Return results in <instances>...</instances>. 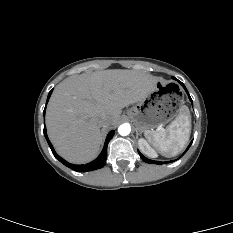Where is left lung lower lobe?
<instances>
[{"label": "left lung lower lobe", "mask_w": 233, "mask_h": 233, "mask_svg": "<svg viewBox=\"0 0 233 233\" xmlns=\"http://www.w3.org/2000/svg\"><path fill=\"white\" fill-rule=\"evenodd\" d=\"M174 79H175V78H174ZM178 82L183 86V88L185 89V91L187 92V94H188V96H189L190 101L192 102V99H191V97H190V95H189V93H188L186 87L184 86V84H183L182 82H180V81H178ZM192 142H193V141H191V143L189 144V146H188L187 149L185 150L184 154H185L186 151L189 149V147L191 146ZM138 152H139V151H138ZM139 155H140V157L142 158V160L145 161L146 163H151V164H162L161 161H154V160H150V159L144 157L140 152H139ZM171 162H174V161H169V163H171ZM164 163L166 164L167 162H164Z\"/></svg>", "instance_id": "left-lung-lower-lobe-1"}]
</instances>
